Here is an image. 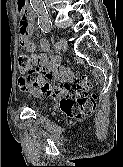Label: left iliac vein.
<instances>
[{
    "label": "left iliac vein",
    "instance_id": "left-iliac-vein-1",
    "mask_svg": "<svg viewBox=\"0 0 123 167\" xmlns=\"http://www.w3.org/2000/svg\"><path fill=\"white\" fill-rule=\"evenodd\" d=\"M59 44H60V49H62L63 51L67 50V41L65 38H61L59 40Z\"/></svg>",
    "mask_w": 123,
    "mask_h": 167
}]
</instances>
